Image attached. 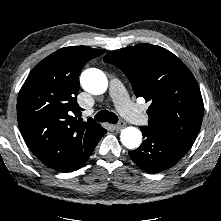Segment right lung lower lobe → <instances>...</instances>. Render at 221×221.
I'll return each mask as SVG.
<instances>
[{
  "instance_id": "98d812e1",
  "label": "right lung lower lobe",
  "mask_w": 221,
  "mask_h": 221,
  "mask_svg": "<svg viewBox=\"0 0 221 221\" xmlns=\"http://www.w3.org/2000/svg\"><path fill=\"white\" fill-rule=\"evenodd\" d=\"M105 133H106V130L104 129L103 135H104ZM103 135H102V136H103ZM97 143H98V142H97ZM97 143H96L93 147H91V148L85 153L83 159L78 163V165L75 167V169H71V170L68 171V172L75 171V170L79 169L81 166H83V165L86 163V161L88 160L89 156L92 154V152H93L94 148L96 147Z\"/></svg>"
}]
</instances>
